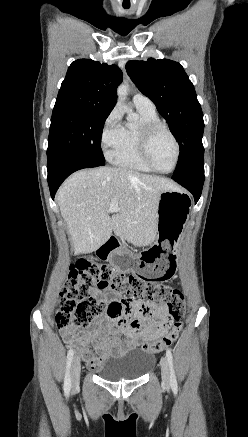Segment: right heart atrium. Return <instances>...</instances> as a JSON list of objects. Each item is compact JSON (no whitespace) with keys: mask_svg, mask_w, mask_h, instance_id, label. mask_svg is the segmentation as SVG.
I'll return each mask as SVG.
<instances>
[{"mask_svg":"<svg viewBox=\"0 0 248 437\" xmlns=\"http://www.w3.org/2000/svg\"><path fill=\"white\" fill-rule=\"evenodd\" d=\"M121 135L122 124L120 113L117 109H113L105 118L100 132V145L108 158L112 157L120 143Z\"/></svg>","mask_w":248,"mask_h":437,"instance_id":"d8ad5b80","label":"right heart atrium"}]
</instances>
